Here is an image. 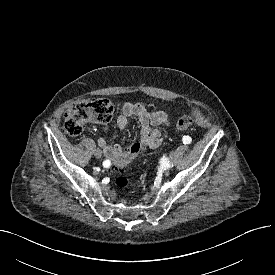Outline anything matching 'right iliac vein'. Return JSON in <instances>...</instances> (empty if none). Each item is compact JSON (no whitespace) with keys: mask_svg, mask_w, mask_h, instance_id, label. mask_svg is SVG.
Masks as SVG:
<instances>
[{"mask_svg":"<svg viewBox=\"0 0 275 275\" xmlns=\"http://www.w3.org/2000/svg\"><path fill=\"white\" fill-rule=\"evenodd\" d=\"M94 156H95L96 158H101V156H102L101 150H100V149H96V150L94 151Z\"/></svg>","mask_w":275,"mask_h":275,"instance_id":"obj_1","label":"right iliac vein"}]
</instances>
